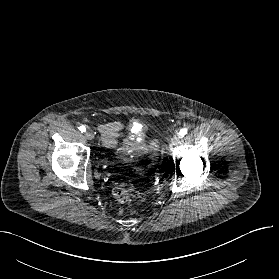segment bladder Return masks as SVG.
<instances>
[{
  "mask_svg": "<svg viewBox=\"0 0 279 279\" xmlns=\"http://www.w3.org/2000/svg\"><path fill=\"white\" fill-rule=\"evenodd\" d=\"M143 133H144L143 126L139 123H134L130 129V134H129L130 143L135 145L141 143L143 139Z\"/></svg>",
  "mask_w": 279,
  "mask_h": 279,
  "instance_id": "31cf9c89",
  "label": "bladder"
}]
</instances>
